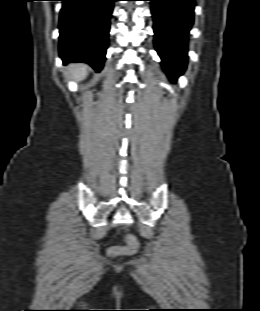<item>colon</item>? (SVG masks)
Returning <instances> with one entry per match:
<instances>
[{"instance_id":"colon-1","label":"colon","mask_w":260,"mask_h":311,"mask_svg":"<svg viewBox=\"0 0 260 311\" xmlns=\"http://www.w3.org/2000/svg\"><path fill=\"white\" fill-rule=\"evenodd\" d=\"M139 246L138 240L133 235L126 236V246L112 247L110 253L112 255L133 254L137 251Z\"/></svg>"}]
</instances>
